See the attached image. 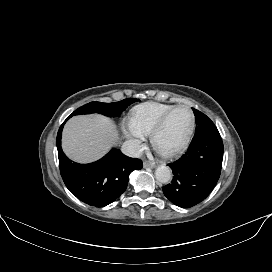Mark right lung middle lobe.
Masks as SVG:
<instances>
[{"label":"right lung middle lobe","instance_id":"dd1d6c3e","mask_svg":"<svg viewBox=\"0 0 272 272\" xmlns=\"http://www.w3.org/2000/svg\"><path fill=\"white\" fill-rule=\"evenodd\" d=\"M136 101H138V99L128 98L113 103L90 102L75 110L70 116L79 114L100 113L105 116L116 117L121 114L127 106Z\"/></svg>","mask_w":272,"mask_h":272}]
</instances>
